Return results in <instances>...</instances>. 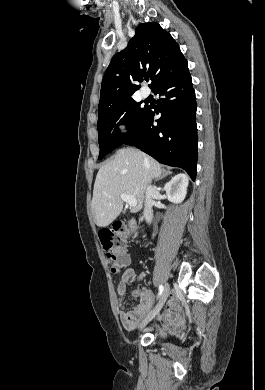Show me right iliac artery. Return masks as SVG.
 I'll return each mask as SVG.
<instances>
[{"mask_svg": "<svg viewBox=\"0 0 265 390\" xmlns=\"http://www.w3.org/2000/svg\"><path fill=\"white\" fill-rule=\"evenodd\" d=\"M163 290H164L163 285H160L159 286V294H158V296H160L162 294Z\"/></svg>", "mask_w": 265, "mask_h": 390, "instance_id": "82829eb1", "label": "right iliac artery"}]
</instances>
